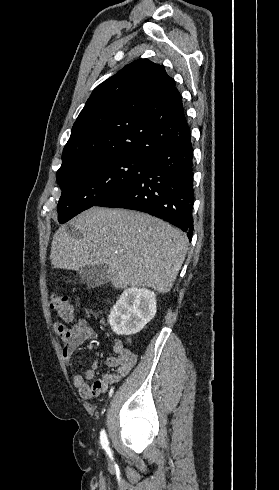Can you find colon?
<instances>
[{
	"label": "colon",
	"mask_w": 279,
	"mask_h": 490,
	"mask_svg": "<svg viewBox=\"0 0 279 490\" xmlns=\"http://www.w3.org/2000/svg\"><path fill=\"white\" fill-rule=\"evenodd\" d=\"M50 304L58 319L67 323L75 321V310L66 294H52L50 296Z\"/></svg>",
	"instance_id": "5ec220e1"
}]
</instances>
